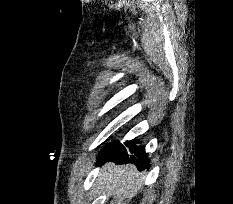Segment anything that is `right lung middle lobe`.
<instances>
[{
    "mask_svg": "<svg viewBox=\"0 0 233 204\" xmlns=\"http://www.w3.org/2000/svg\"><path fill=\"white\" fill-rule=\"evenodd\" d=\"M138 143L137 140H130L126 143V147L127 148H135V147H138V146H135L136 144ZM125 146H123L122 144H120L119 142H115L114 144L112 145H109L106 147L107 150L109 151H119V150H127Z\"/></svg>",
    "mask_w": 233,
    "mask_h": 204,
    "instance_id": "right-lung-middle-lobe-1",
    "label": "right lung middle lobe"
}]
</instances>
